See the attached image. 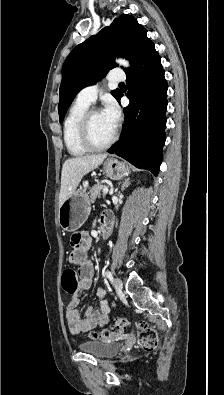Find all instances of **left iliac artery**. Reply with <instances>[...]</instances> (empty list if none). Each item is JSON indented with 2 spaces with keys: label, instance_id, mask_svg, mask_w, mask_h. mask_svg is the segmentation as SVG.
Listing matches in <instances>:
<instances>
[{
  "label": "left iliac artery",
  "instance_id": "1",
  "mask_svg": "<svg viewBox=\"0 0 224 395\" xmlns=\"http://www.w3.org/2000/svg\"><path fill=\"white\" fill-rule=\"evenodd\" d=\"M106 277H107L108 279H110V280L113 279V275H112V273H111L110 271H107V272H106Z\"/></svg>",
  "mask_w": 224,
  "mask_h": 395
}]
</instances>
